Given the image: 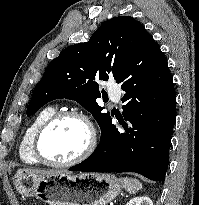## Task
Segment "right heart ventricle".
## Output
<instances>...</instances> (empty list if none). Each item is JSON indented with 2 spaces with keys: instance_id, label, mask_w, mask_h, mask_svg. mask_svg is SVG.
I'll list each match as a JSON object with an SVG mask.
<instances>
[{
  "instance_id": "e07e8e85",
  "label": "right heart ventricle",
  "mask_w": 199,
  "mask_h": 205,
  "mask_svg": "<svg viewBox=\"0 0 199 205\" xmlns=\"http://www.w3.org/2000/svg\"><path fill=\"white\" fill-rule=\"evenodd\" d=\"M57 109L56 105L42 108L25 130L19 145V156L25 164L35 165L39 163L32 151L33 138L39 127L56 113Z\"/></svg>"
}]
</instances>
